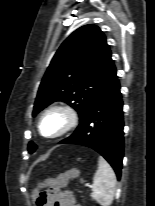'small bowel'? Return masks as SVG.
<instances>
[{
  "instance_id": "obj_1",
  "label": "small bowel",
  "mask_w": 155,
  "mask_h": 206,
  "mask_svg": "<svg viewBox=\"0 0 155 206\" xmlns=\"http://www.w3.org/2000/svg\"><path fill=\"white\" fill-rule=\"evenodd\" d=\"M46 201L42 206H79L72 193L63 188L48 189Z\"/></svg>"
}]
</instances>
